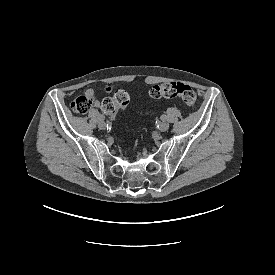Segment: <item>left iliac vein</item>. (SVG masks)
<instances>
[{"label":"left iliac vein","mask_w":275,"mask_h":275,"mask_svg":"<svg viewBox=\"0 0 275 275\" xmlns=\"http://www.w3.org/2000/svg\"><path fill=\"white\" fill-rule=\"evenodd\" d=\"M161 131H166L169 128V123L166 121H162L159 125Z\"/></svg>","instance_id":"left-iliac-vein-1"}]
</instances>
